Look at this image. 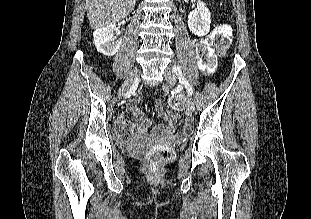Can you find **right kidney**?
I'll return each instance as SVG.
<instances>
[{"mask_svg": "<svg viewBox=\"0 0 311 219\" xmlns=\"http://www.w3.org/2000/svg\"><path fill=\"white\" fill-rule=\"evenodd\" d=\"M115 24H110L96 29L93 33L94 41L98 52L105 56H113L118 52L122 44V39L114 36Z\"/></svg>", "mask_w": 311, "mask_h": 219, "instance_id": "ca27d5eb", "label": "right kidney"}]
</instances>
